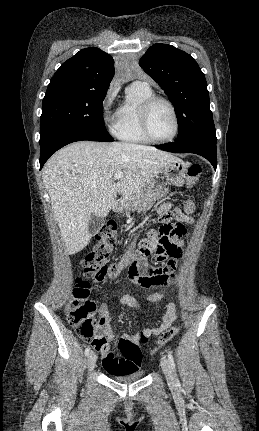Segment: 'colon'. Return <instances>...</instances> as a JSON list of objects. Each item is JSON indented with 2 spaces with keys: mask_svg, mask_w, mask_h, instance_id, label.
I'll use <instances>...</instances> for the list:
<instances>
[{
  "mask_svg": "<svg viewBox=\"0 0 259 431\" xmlns=\"http://www.w3.org/2000/svg\"><path fill=\"white\" fill-rule=\"evenodd\" d=\"M201 166L191 163L186 171V182L192 186L201 176ZM186 213L194 214L195 204L191 200L183 203ZM156 236L151 239L141 240L136 249L129 248L125 251L120 261L107 264V261L114 255L118 245L117 226L113 222L103 225L96 234L98 244L82 260L84 274L96 283H105L114 280L126 268L131 266H149L148 260L163 261L168 256H172L176 251V242L186 234V227L182 222H166L162 224ZM91 283L87 280L77 279L76 286L72 292V298L66 308V316L69 323L76 332L92 345L100 346L105 343V339L99 334L100 320L97 319V305L89 299ZM178 332V327L173 326L163 330L156 341V347L169 342ZM148 335L141 333V342L147 341ZM118 351L129 357H137L139 353L138 345L129 341H119ZM134 367L129 364L123 366L120 372L134 371Z\"/></svg>",
  "mask_w": 259,
  "mask_h": 431,
  "instance_id": "obj_1",
  "label": "colon"
}]
</instances>
